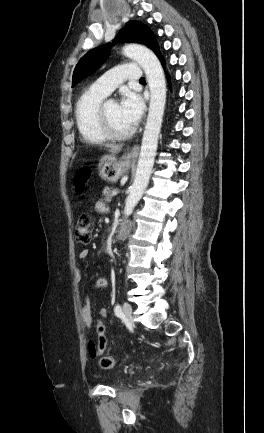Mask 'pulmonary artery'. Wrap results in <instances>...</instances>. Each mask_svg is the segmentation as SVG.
<instances>
[{
    "label": "pulmonary artery",
    "instance_id": "pulmonary-artery-1",
    "mask_svg": "<svg viewBox=\"0 0 264 433\" xmlns=\"http://www.w3.org/2000/svg\"><path fill=\"white\" fill-rule=\"evenodd\" d=\"M141 69L136 64H121L110 69L92 83L91 88L105 96L112 93L119 84L126 80H140Z\"/></svg>",
    "mask_w": 264,
    "mask_h": 433
}]
</instances>
